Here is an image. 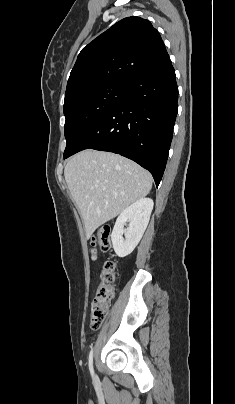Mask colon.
<instances>
[{
	"label": "colon",
	"mask_w": 235,
	"mask_h": 404,
	"mask_svg": "<svg viewBox=\"0 0 235 404\" xmlns=\"http://www.w3.org/2000/svg\"><path fill=\"white\" fill-rule=\"evenodd\" d=\"M92 258H96L95 247L108 251L112 247L111 229L108 226L98 230L91 239ZM117 279L115 264L108 260L104 263L100 276V285L91 305L90 324L94 329H98L103 324L109 310V305L114 297V286Z\"/></svg>",
	"instance_id": "5ec220e1"
}]
</instances>
